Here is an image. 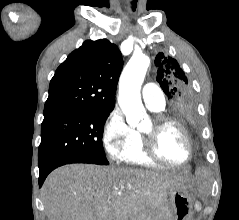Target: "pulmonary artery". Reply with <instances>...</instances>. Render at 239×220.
<instances>
[{
    "instance_id": "obj_1",
    "label": "pulmonary artery",
    "mask_w": 239,
    "mask_h": 220,
    "mask_svg": "<svg viewBox=\"0 0 239 220\" xmlns=\"http://www.w3.org/2000/svg\"><path fill=\"white\" fill-rule=\"evenodd\" d=\"M142 98L149 109L163 110L165 108V96L163 91L154 83H147L142 89Z\"/></svg>"
}]
</instances>
